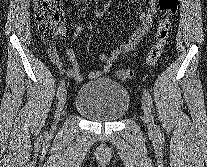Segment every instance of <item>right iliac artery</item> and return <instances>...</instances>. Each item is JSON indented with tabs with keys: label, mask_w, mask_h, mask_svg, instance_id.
<instances>
[{
	"label": "right iliac artery",
	"mask_w": 207,
	"mask_h": 167,
	"mask_svg": "<svg viewBox=\"0 0 207 167\" xmlns=\"http://www.w3.org/2000/svg\"><path fill=\"white\" fill-rule=\"evenodd\" d=\"M64 87H65V82L64 80L61 81L59 87H58V91H57V96L59 97L61 95V93L64 91Z\"/></svg>",
	"instance_id": "right-iliac-artery-1"
}]
</instances>
